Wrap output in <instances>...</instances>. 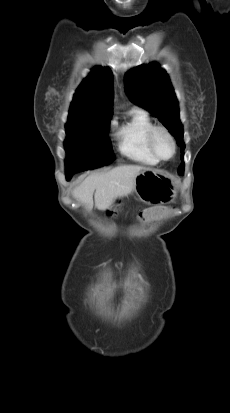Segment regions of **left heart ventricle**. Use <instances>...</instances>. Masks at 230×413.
<instances>
[{
    "label": "left heart ventricle",
    "instance_id": "1",
    "mask_svg": "<svg viewBox=\"0 0 230 413\" xmlns=\"http://www.w3.org/2000/svg\"><path fill=\"white\" fill-rule=\"evenodd\" d=\"M155 147L160 156L168 158L172 155L173 147L168 137L162 133H157L155 137Z\"/></svg>",
    "mask_w": 230,
    "mask_h": 413
}]
</instances>
